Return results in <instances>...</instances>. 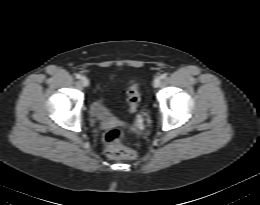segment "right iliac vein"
<instances>
[{"label": "right iliac vein", "instance_id": "right-iliac-vein-1", "mask_svg": "<svg viewBox=\"0 0 260 205\" xmlns=\"http://www.w3.org/2000/svg\"><path fill=\"white\" fill-rule=\"evenodd\" d=\"M80 82L84 87H87L89 85V80L86 77H81Z\"/></svg>", "mask_w": 260, "mask_h": 205}]
</instances>
